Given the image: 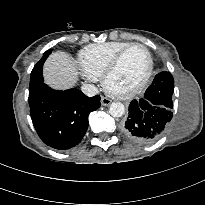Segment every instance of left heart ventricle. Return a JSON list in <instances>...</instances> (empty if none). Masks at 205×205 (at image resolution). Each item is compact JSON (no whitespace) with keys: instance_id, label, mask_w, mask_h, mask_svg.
Returning a JSON list of instances; mask_svg holds the SVG:
<instances>
[{"instance_id":"1","label":"left heart ventricle","mask_w":205,"mask_h":205,"mask_svg":"<svg viewBox=\"0 0 205 205\" xmlns=\"http://www.w3.org/2000/svg\"><path fill=\"white\" fill-rule=\"evenodd\" d=\"M148 67L144 49L134 47L122 58L118 68L109 79V86L116 91H126L136 86Z\"/></svg>"}]
</instances>
